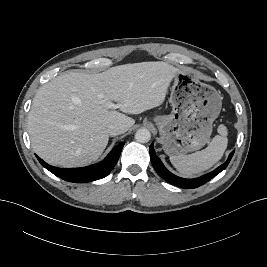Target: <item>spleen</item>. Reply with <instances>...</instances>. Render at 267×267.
<instances>
[{
    "instance_id": "1",
    "label": "spleen",
    "mask_w": 267,
    "mask_h": 267,
    "mask_svg": "<svg viewBox=\"0 0 267 267\" xmlns=\"http://www.w3.org/2000/svg\"><path fill=\"white\" fill-rule=\"evenodd\" d=\"M218 133L206 149L189 155H171L170 162L187 177L211 168L222 158L228 144L226 126L220 125Z\"/></svg>"
}]
</instances>
